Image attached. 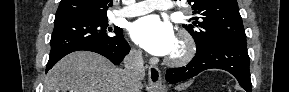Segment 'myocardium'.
Listing matches in <instances>:
<instances>
[{"label": "myocardium", "instance_id": "f54148a6", "mask_svg": "<svg viewBox=\"0 0 289 92\" xmlns=\"http://www.w3.org/2000/svg\"><path fill=\"white\" fill-rule=\"evenodd\" d=\"M179 47L176 53L170 54L166 62L171 66H181L188 63L195 55L194 39L187 31H181L177 40Z\"/></svg>", "mask_w": 289, "mask_h": 92}]
</instances>
